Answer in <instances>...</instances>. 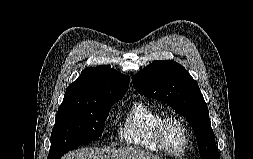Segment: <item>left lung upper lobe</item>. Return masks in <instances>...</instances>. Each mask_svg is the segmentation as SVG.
I'll return each instance as SVG.
<instances>
[{
  "label": "left lung upper lobe",
  "instance_id": "obj_1",
  "mask_svg": "<svg viewBox=\"0 0 253 159\" xmlns=\"http://www.w3.org/2000/svg\"><path fill=\"white\" fill-rule=\"evenodd\" d=\"M136 90L168 103L184 116L196 134L201 159H220L207 104L198 83L174 61H154L132 78Z\"/></svg>",
  "mask_w": 253,
  "mask_h": 159
}]
</instances>
